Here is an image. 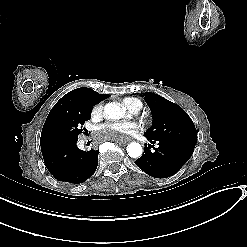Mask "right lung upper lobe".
I'll return each instance as SVG.
<instances>
[{"label":"right lung upper lobe","mask_w":247,"mask_h":247,"mask_svg":"<svg viewBox=\"0 0 247 247\" xmlns=\"http://www.w3.org/2000/svg\"><path fill=\"white\" fill-rule=\"evenodd\" d=\"M109 96V94H99L98 92L85 87L70 91L61 99H59V101L50 111L43 126L42 134L48 123L55 119L60 113H63L64 111H71L76 108H83L92 111L94 105L98 104L100 101L108 98Z\"/></svg>","instance_id":"cb5924a9"}]
</instances>
